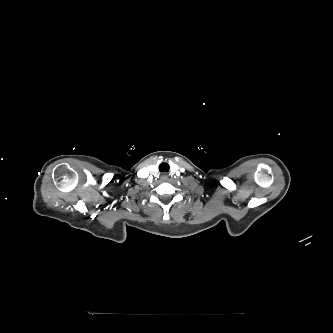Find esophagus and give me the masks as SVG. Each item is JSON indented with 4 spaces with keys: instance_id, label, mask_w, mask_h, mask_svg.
I'll return each instance as SVG.
<instances>
[{
    "instance_id": "obj_1",
    "label": "esophagus",
    "mask_w": 333,
    "mask_h": 333,
    "mask_svg": "<svg viewBox=\"0 0 333 333\" xmlns=\"http://www.w3.org/2000/svg\"><path fill=\"white\" fill-rule=\"evenodd\" d=\"M166 178H167V175L166 174H162V179L166 180Z\"/></svg>"
}]
</instances>
